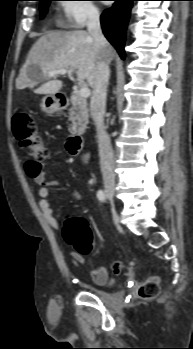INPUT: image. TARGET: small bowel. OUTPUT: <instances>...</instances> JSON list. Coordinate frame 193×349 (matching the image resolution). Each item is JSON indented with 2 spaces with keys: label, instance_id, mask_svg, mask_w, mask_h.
Returning <instances> with one entry per match:
<instances>
[{
  "label": "small bowel",
  "instance_id": "1",
  "mask_svg": "<svg viewBox=\"0 0 193 349\" xmlns=\"http://www.w3.org/2000/svg\"><path fill=\"white\" fill-rule=\"evenodd\" d=\"M26 173L29 177L40 186L38 190V204L45 220L56 230H60L58 221L55 217L54 210L49 201L50 190L49 186H54L53 181H49L46 176V172L43 170L41 164L28 161L25 164ZM68 196L74 200L81 201V195L75 190H69ZM71 257L78 263H84V258L80 253L72 252ZM110 271L118 274L122 271L121 267L112 263L110 266H98L90 271V277L92 281L98 285H106L109 281Z\"/></svg>",
  "mask_w": 193,
  "mask_h": 349
}]
</instances>
